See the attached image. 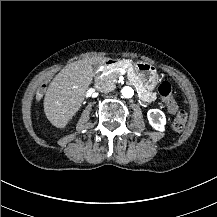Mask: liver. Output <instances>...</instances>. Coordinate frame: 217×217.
<instances>
[{"label": "liver", "mask_w": 217, "mask_h": 217, "mask_svg": "<svg viewBox=\"0 0 217 217\" xmlns=\"http://www.w3.org/2000/svg\"><path fill=\"white\" fill-rule=\"evenodd\" d=\"M108 61L106 57L78 60L64 67L54 77L43 102L45 116L51 125L64 129L70 124L93 81V66Z\"/></svg>", "instance_id": "obj_1"}]
</instances>
